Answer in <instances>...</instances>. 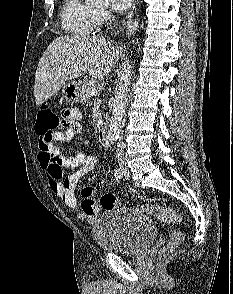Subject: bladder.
<instances>
[{
  "mask_svg": "<svg viewBox=\"0 0 233 294\" xmlns=\"http://www.w3.org/2000/svg\"><path fill=\"white\" fill-rule=\"evenodd\" d=\"M156 235L154 223L140 210L131 207L110 209L92 225L96 244L105 251L122 255L143 251Z\"/></svg>",
  "mask_w": 233,
  "mask_h": 294,
  "instance_id": "obj_1",
  "label": "bladder"
}]
</instances>
